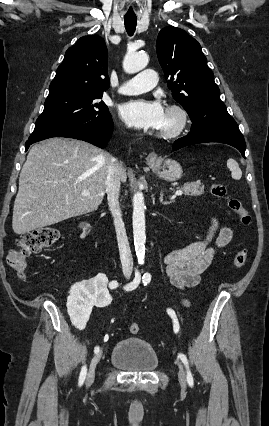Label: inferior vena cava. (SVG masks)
Instances as JSON below:
<instances>
[{
	"mask_svg": "<svg viewBox=\"0 0 269 426\" xmlns=\"http://www.w3.org/2000/svg\"><path fill=\"white\" fill-rule=\"evenodd\" d=\"M120 171L121 164H119L115 158L112 157L110 166L108 168L107 180H106V193L108 199V206L114 218V226L116 230V236L118 241L120 259L122 263V269L125 275H130L133 270V260L129 247L124 222L122 220L121 209L119 206V194H120Z\"/></svg>",
	"mask_w": 269,
	"mask_h": 426,
	"instance_id": "1",
	"label": "inferior vena cava"
}]
</instances>
